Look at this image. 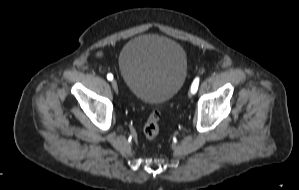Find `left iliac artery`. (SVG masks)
I'll use <instances>...</instances> for the list:
<instances>
[{
    "instance_id": "left-iliac-artery-1",
    "label": "left iliac artery",
    "mask_w": 299,
    "mask_h": 190,
    "mask_svg": "<svg viewBox=\"0 0 299 190\" xmlns=\"http://www.w3.org/2000/svg\"><path fill=\"white\" fill-rule=\"evenodd\" d=\"M198 85H199V78H195V80L193 81L192 83V86H191V92L194 94L196 93L197 89H198Z\"/></svg>"
}]
</instances>
